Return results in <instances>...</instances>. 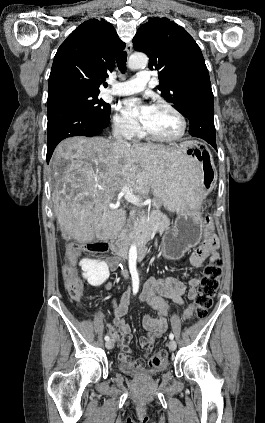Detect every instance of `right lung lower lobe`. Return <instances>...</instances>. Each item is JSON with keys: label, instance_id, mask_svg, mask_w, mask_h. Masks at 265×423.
I'll list each match as a JSON object with an SVG mask.
<instances>
[{"label": "right lung lower lobe", "instance_id": "obj_1", "mask_svg": "<svg viewBox=\"0 0 265 423\" xmlns=\"http://www.w3.org/2000/svg\"><path fill=\"white\" fill-rule=\"evenodd\" d=\"M48 146L47 162L57 144L72 136L92 137L100 134L106 127L107 121L91 114L81 106L60 103L48 108Z\"/></svg>", "mask_w": 265, "mask_h": 423}]
</instances>
